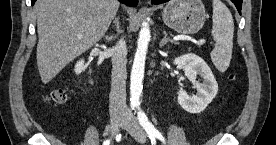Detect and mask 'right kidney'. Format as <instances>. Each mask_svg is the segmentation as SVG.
Masks as SVG:
<instances>
[{"label": "right kidney", "mask_w": 276, "mask_h": 145, "mask_svg": "<svg viewBox=\"0 0 276 145\" xmlns=\"http://www.w3.org/2000/svg\"><path fill=\"white\" fill-rule=\"evenodd\" d=\"M83 70H84V60L81 59L76 63L74 71L76 74H80Z\"/></svg>", "instance_id": "ca27d5eb"}]
</instances>
